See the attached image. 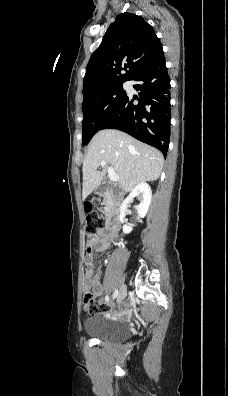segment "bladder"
Listing matches in <instances>:
<instances>
[{"label":"bladder","instance_id":"bladder-1","mask_svg":"<svg viewBox=\"0 0 228 396\" xmlns=\"http://www.w3.org/2000/svg\"><path fill=\"white\" fill-rule=\"evenodd\" d=\"M84 329L87 335L109 342L123 341L130 335L126 323L110 318L102 319L98 315L87 318Z\"/></svg>","mask_w":228,"mask_h":396}]
</instances>
